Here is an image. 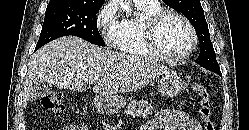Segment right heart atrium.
I'll return each instance as SVG.
<instances>
[{
    "mask_svg": "<svg viewBox=\"0 0 249 130\" xmlns=\"http://www.w3.org/2000/svg\"><path fill=\"white\" fill-rule=\"evenodd\" d=\"M96 28L102 33L109 44H113L119 22L116 17V5L112 2L106 3L97 13L95 19Z\"/></svg>",
    "mask_w": 249,
    "mask_h": 130,
    "instance_id": "obj_1",
    "label": "right heart atrium"
}]
</instances>
